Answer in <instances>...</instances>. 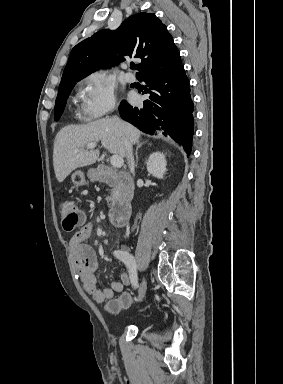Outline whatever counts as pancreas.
<instances>
[{
    "mask_svg": "<svg viewBox=\"0 0 283 384\" xmlns=\"http://www.w3.org/2000/svg\"><path fill=\"white\" fill-rule=\"evenodd\" d=\"M115 174H116V170H112V168H108L107 174H106L108 178H113ZM120 196H121V188H119V186H112V192L110 196H107L108 208H113V206H115V204L119 202Z\"/></svg>",
    "mask_w": 283,
    "mask_h": 384,
    "instance_id": "1",
    "label": "pancreas"
}]
</instances>
